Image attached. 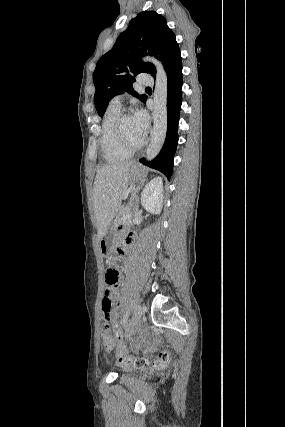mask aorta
Here are the masks:
<instances>
[{
    "mask_svg": "<svg viewBox=\"0 0 285 427\" xmlns=\"http://www.w3.org/2000/svg\"><path fill=\"white\" fill-rule=\"evenodd\" d=\"M144 61L152 62L156 67V81L154 89L153 130L151 142L146 150V160H153L160 152L167 133V92L168 78L160 61L153 57H146Z\"/></svg>",
    "mask_w": 285,
    "mask_h": 427,
    "instance_id": "762f6f07",
    "label": "aorta"
}]
</instances>
